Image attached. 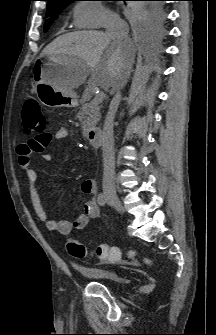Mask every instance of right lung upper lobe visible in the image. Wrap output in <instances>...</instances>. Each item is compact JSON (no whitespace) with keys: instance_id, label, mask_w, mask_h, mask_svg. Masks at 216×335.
<instances>
[{"instance_id":"right-lung-upper-lobe-1","label":"right lung upper lobe","mask_w":216,"mask_h":335,"mask_svg":"<svg viewBox=\"0 0 216 335\" xmlns=\"http://www.w3.org/2000/svg\"><path fill=\"white\" fill-rule=\"evenodd\" d=\"M49 4L59 3V2H67V1H74V0H46Z\"/></svg>"}]
</instances>
